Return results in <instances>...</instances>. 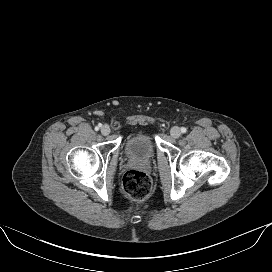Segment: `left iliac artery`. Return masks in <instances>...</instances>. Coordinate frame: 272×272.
<instances>
[{"label":"left iliac artery","instance_id":"obj_1","mask_svg":"<svg viewBox=\"0 0 272 272\" xmlns=\"http://www.w3.org/2000/svg\"><path fill=\"white\" fill-rule=\"evenodd\" d=\"M187 129L185 127H181V132L186 133Z\"/></svg>","mask_w":272,"mask_h":272}]
</instances>
